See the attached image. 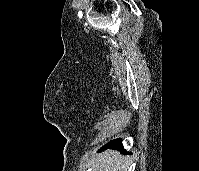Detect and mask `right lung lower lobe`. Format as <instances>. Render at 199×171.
Returning a JSON list of instances; mask_svg holds the SVG:
<instances>
[{
    "mask_svg": "<svg viewBox=\"0 0 199 171\" xmlns=\"http://www.w3.org/2000/svg\"><path fill=\"white\" fill-rule=\"evenodd\" d=\"M123 149V146L121 144V139H115L107 143L105 146L101 148V150L111 148V149H117V148Z\"/></svg>",
    "mask_w": 199,
    "mask_h": 171,
    "instance_id": "right-lung-lower-lobe-1",
    "label": "right lung lower lobe"
}]
</instances>
